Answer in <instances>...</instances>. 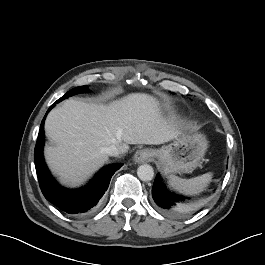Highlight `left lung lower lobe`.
<instances>
[{
  "mask_svg": "<svg viewBox=\"0 0 265 265\" xmlns=\"http://www.w3.org/2000/svg\"><path fill=\"white\" fill-rule=\"evenodd\" d=\"M152 197L158 209L169 216H184L202 203V201L191 202L183 196L170 192L163 185L159 174L156 175L152 187Z\"/></svg>",
  "mask_w": 265,
  "mask_h": 265,
  "instance_id": "left-lung-lower-lobe-1",
  "label": "left lung lower lobe"
}]
</instances>
